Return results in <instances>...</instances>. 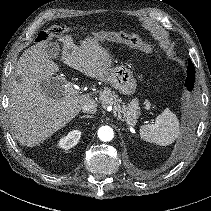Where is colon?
Segmentation results:
<instances>
[{
    "label": "colon",
    "instance_id": "5ec220e1",
    "mask_svg": "<svg viewBox=\"0 0 211 211\" xmlns=\"http://www.w3.org/2000/svg\"><path fill=\"white\" fill-rule=\"evenodd\" d=\"M69 32V28L66 26H53L47 30L41 31L37 37L36 42L43 44L55 37H60Z\"/></svg>",
    "mask_w": 211,
    "mask_h": 211
}]
</instances>
